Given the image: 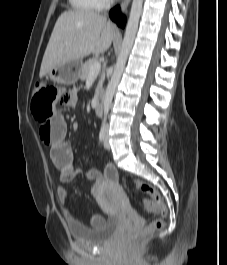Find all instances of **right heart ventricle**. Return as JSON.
I'll return each instance as SVG.
<instances>
[{"instance_id":"1","label":"right heart ventricle","mask_w":227,"mask_h":265,"mask_svg":"<svg viewBox=\"0 0 227 265\" xmlns=\"http://www.w3.org/2000/svg\"><path fill=\"white\" fill-rule=\"evenodd\" d=\"M77 12H92L100 8L98 0H68Z\"/></svg>"}]
</instances>
